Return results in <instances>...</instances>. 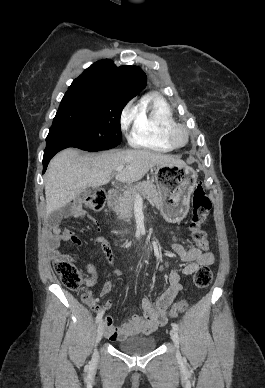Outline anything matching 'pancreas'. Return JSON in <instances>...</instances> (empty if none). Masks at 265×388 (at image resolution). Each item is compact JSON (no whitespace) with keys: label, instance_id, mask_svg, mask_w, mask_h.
<instances>
[{"label":"pancreas","instance_id":"1","mask_svg":"<svg viewBox=\"0 0 265 388\" xmlns=\"http://www.w3.org/2000/svg\"><path fill=\"white\" fill-rule=\"evenodd\" d=\"M136 194L148 196L158 208L162 206L160 194H158V190H156V186L153 182H137L136 186H129L128 190H126L121 198H119V206H115L114 208V212H116L119 220L130 222Z\"/></svg>","mask_w":265,"mask_h":388}]
</instances>
